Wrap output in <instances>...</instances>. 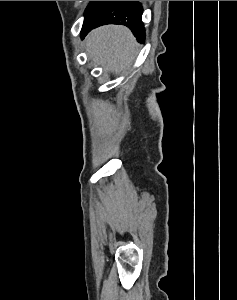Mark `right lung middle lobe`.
<instances>
[{
  "label": "right lung middle lobe",
  "instance_id": "right-lung-middle-lobe-1",
  "mask_svg": "<svg viewBox=\"0 0 237 300\" xmlns=\"http://www.w3.org/2000/svg\"><path fill=\"white\" fill-rule=\"evenodd\" d=\"M116 1H91L85 11L83 28L98 21Z\"/></svg>",
  "mask_w": 237,
  "mask_h": 300
}]
</instances>
